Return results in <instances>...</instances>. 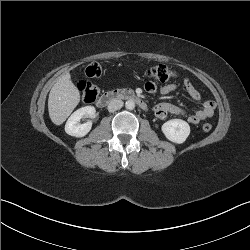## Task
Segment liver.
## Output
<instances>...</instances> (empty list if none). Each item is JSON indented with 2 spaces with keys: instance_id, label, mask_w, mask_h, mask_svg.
I'll return each instance as SVG.
<instances>
[{
  "instance_id": "1",
  "label": "liver",
  "mask_w": 250,
  "mask_h": 250,
  "mask_svg": "<svg viewBox=\"0 0 250 250\" xmlns=\"http://www.w3.org/2000/svg\"><path fill=\"white\" fill-rule=\"evenodd\" d=\"M80 101V93L69 73L61 75L50 90L48 110L51 121L61 125Z\"/></svg>"
}]
</instances>
